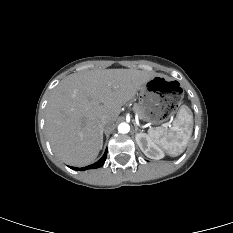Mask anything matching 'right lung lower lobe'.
Listing matches in <instances>:
<instances>
[{"instance_id":"right-lung-lower-lobe-1","label":"right lung lower lobe","mask_w":233,"mask_h":233,"mask_svg":"<svg viewBox=\"0 0 233 233\" xmlns=\"http://www.w3.org/2000/svg\"><path fill=\"white\" fill-rule=\"evenodd\" d=\"M106 156H107V149H106L103 157L99 161H97L95 164L83 167V168H81V170L84 171V170H87V169H95V168H99V167L103 166V164H104V162L106 160ZM70 168L74 169V170H78L77 167H70Z\"/></svg>"}]
</instances>
